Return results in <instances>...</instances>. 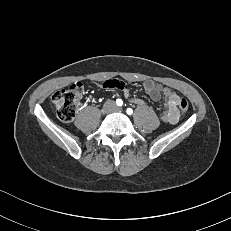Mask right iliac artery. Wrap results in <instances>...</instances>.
Instances as JSON below:
<instances>
[{"label":"right iliac artery","instance_id":"right-iliac-artery-1","mask_svg":"<svg viewBox=\"0 0 231 231\" xmlns=\"http://www.w3.org/2000/svg\"><path fill=\"white\" fill-rule=\"evenodd\" d=\"M116 104H117L118 106H122L123 101H122L121 99H117Z\"/></svg>","mask_w":231,"mask_h":231}]
</instances>
